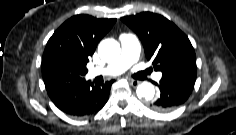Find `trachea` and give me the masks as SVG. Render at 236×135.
I'll return each mask as SVG.
<instances>
[{
  "instance_id": "3493384b",
  "label": "trachea",
  "mask_w": 236,
  "mask_h": 135,
  "mask_svg": "<svg viewBox=\"0 0 236 135\" xmlns=\"http://www.w3.org/2000/svg\"><path fill=\"white\" fill-rule=\"evenodd\" d=\"M150 73V71L149 70H147V71H145L144 72V74L146 75V74H149Z\"/></svg>"
}]
</instances>
